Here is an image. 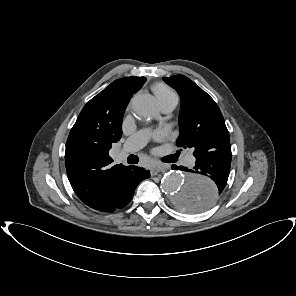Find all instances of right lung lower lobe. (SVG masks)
Masks as SVG:
<instances>
[{
    "label": "right lung lower lobe",
    "mask_w": 296,
    "mask_h": 296,
    "mask_svg": "<svg viewBox=\"0 0 296 296\" xmlns=\"http://www.w3.org/2000/svg\"><path fill=\"white\" fill-rule=\"evenodd\" d=\"M150 177V172L140 167L130 166L124 172L118 190L110 196L107 203L99 209L101 212H112L125 207L133 198L136 186Z\"/></svg>",
    "instance_id": "98d812e1"
}]
</instances>
